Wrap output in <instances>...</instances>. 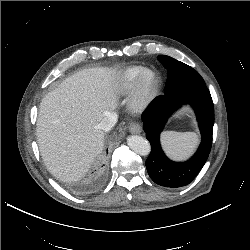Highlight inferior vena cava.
<instances>
[{
    "label": "inferior vena cava",
    "instance_id": "602c4592",
    "mask_svg": "<svg viewBox=\"0 0 250 250\" xmlns=\"http://www.w3.org/2000/svg\"><path fill=\"white\" fill-rule=\"evenodd\" d=\"M118 120V116L116 113H109L103 120L99 123V128L104 132L110 131Z\"/></svg>",
    "mask_w": 250,
    "mask_h": 250
}]
</instances>
